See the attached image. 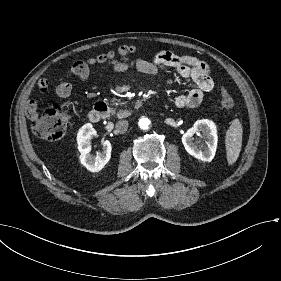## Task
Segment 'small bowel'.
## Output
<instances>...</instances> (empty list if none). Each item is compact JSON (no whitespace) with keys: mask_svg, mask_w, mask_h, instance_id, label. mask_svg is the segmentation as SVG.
<instances>
[{"mask_svg":"<svg viewBox=\"0 0 281 281\" xmlns=\"http://www.w3.org/2000/svg\"><path fill=\"white\" fill-rule=\"evenodd\" d=\"M174 70L182 78L189 79L193 87L185 94L176 97L175 105L178 108H194L200 104L203 96L212 91L214 83L209 66L189 55L177 54L171 51H161L153 60L134 59L127 63H118L113 66L116 72L137 70L147 74H155L162 70ZM73 73L81 80L89 77V68L84 62H76L73 65ZM73 91L70 83L64 82L57 86L56 95L59 98L68 97ZM50 89L45 79H40L37 84L27 91L26 113L30 119L37 117V104L49 95Z\"/></svg>","mask_w":281,"mask_h":281,"instance_id":"small-bowel-1","label":"small bowel"}]
</instances>
